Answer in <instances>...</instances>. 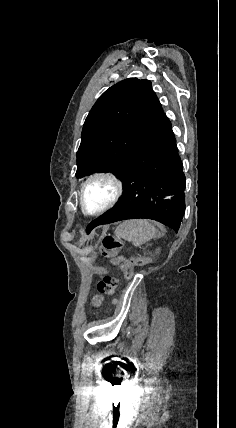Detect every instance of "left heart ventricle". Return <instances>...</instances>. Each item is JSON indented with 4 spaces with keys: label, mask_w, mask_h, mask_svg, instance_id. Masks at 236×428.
I'll use <instances>...</instances> for the list:
<instances>
[{
    "label": "left heart ventricle",
    "mask_w": 236,
    "mask_h": 428,
    "mask_svg": "<svg viewBox=\"0 0 236 428\" xmlns=\"http://www.w3.org/2000/svg\"><path fill=\"white\" fill-rule=\"evenodd\" d=\"M112 186L106 181H97L88 186L85 201L89 210L103 206L111 197Z\"/></svg>",
    "instance_id": "1"
}]
</instances>
